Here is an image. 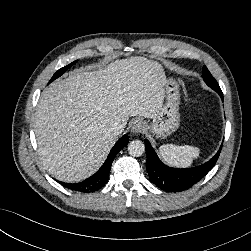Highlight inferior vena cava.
I'll return each instance as SVG.
<instances>
[{
  "mask_svg": "<svg viewBox=\"0 0 251 251\" xmlns=\"http://www.w3.org/2000/svg\"><path fill=\"white\" fill-rule=\"evenodd\" d=\"M124 126L118 122H113L109 128V131L114 135H119L122 133Z\"/></svg>",
  "mask_w": 251,
  "mask_h": 251,
  "instance_id": "obj_1",
  "label": "inferior vena cava"
}]
</instances>
